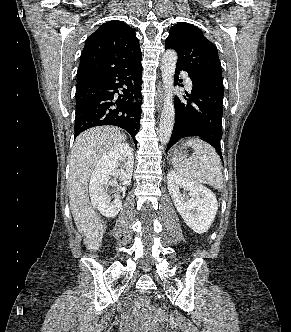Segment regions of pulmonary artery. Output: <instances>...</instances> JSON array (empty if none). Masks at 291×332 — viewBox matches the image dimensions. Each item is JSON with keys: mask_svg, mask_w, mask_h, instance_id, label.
<instances>
[{"mask_svg": "<svg viewBox=\"0 0 291 332\" xmlns=\"http://www.w3.org/2000/svg\"><path fill=\"white\" fill-rule=\"evenodd\" d=\"M184 76H185V79H186V82H187V84H188V87H192V82H191V80H190V78L189 77H187V75L186 74H184Z\"/></svg>", "mask_w": 291, "mask_h": 332, "instance_id": "1", "label": "pulmonary artery"}]
</instances>
